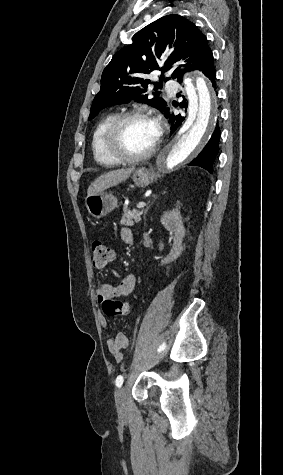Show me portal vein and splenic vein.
<instances>
[{
    "label": "portal vein and splenic vein",
    "mask_w": 283,
    "mask_h": 475,
    "mask_svg": "<svg viewBox=\"0 0 283 475\" xmlns=\"http://www.w3.org/2000/svg\"><path fill=\"white\" fill-rule=\"evenodd\" d=\"M144 206H146L145 202H139V204H137L136 208H144Z\"/></svg>",
    "instance_id": "18ae733b"
}]
</instances>
